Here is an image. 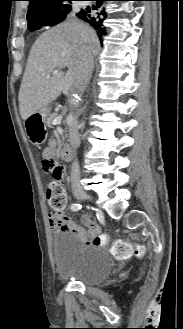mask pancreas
<instances>
[{"mask_svg":"<svg viewBox=\"0 0 183 329\" xmlns=\"http://www.w3.org/2000/svg\"><path fill=\"white\" fill-rule=\"evenodd\" d=\"M57 114L56 113H53L51 115L48 116L47 120H46V125L48 127H52V121L56 118Z\"/></svg>","mask_w":183,"mask_h":329,"instance_id":"obj_1","label":"pancreas"}]
</instances>
